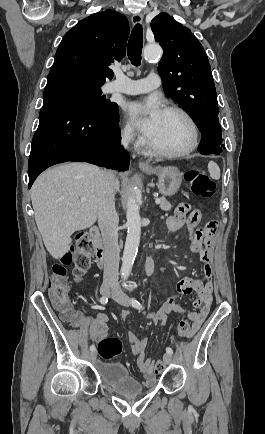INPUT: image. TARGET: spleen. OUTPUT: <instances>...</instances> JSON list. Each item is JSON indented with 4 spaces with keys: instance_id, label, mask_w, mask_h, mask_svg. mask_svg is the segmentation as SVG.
<instances>
[{
    "instance_id": "1",
    "label": "spleen",
    "mask_w": 265,
    "mask_h": 434,
    "mask_svg": "<svg viewBox=\"0 0 265 434\" xmlns=\"http://www.w3.org/2000/svg\"><path fill=\"white\" fill-rule=\"evenodd\" d=\"M208 172H210L211 178L213 180H219L220 178V168L215 164V162H209L208 164Z\"/></svg>"
}]
</instances>
